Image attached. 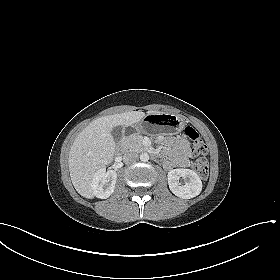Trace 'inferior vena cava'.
<instances>
[{
	"label": "inferior vena cava",
	"instance_id": "obj_1",
	"mask_svg": "<svg viewBox=\"0 0 280 280\" xmlns=\"http://www.w3.org/2000/svg\"><path fill=\"white\" fill-rule=\"evenodd\" d=\"M123 159L125 163L135 162L138 159V154L135 152H127L124 154Z\"/></svg>",
	"mask_w": 280,
	"mask_h": 280
}]
</instances>
